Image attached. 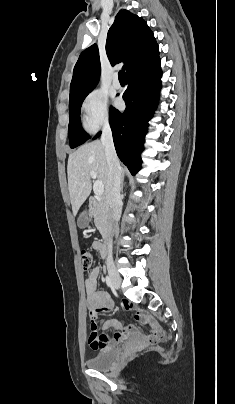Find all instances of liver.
Here are the masks:
<instances>
[{
  "label": "liver",
  "instance_id": "1",
  "mask_svg": "<svg viewBox=\"0 0 235 404\" xmlns=\"http://www.w3.org/2000/svg\"><path fill=\"white\" fill-rule=\"evenodd\" d=\"M90 171H94L97 179L108 185L109 168L104 147L99 140L80 146L68 158V188L73 214L76 215L81 205L90 195L92 182ZM124 170L121 169V173Z\"/></svg>",
  "mask_w": 235,
  "mask_h": 404
}]
</instances>
